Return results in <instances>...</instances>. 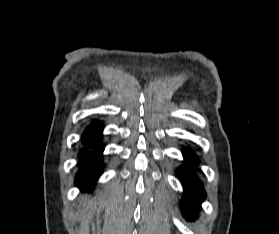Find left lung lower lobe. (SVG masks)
<instances>
[{"mask_svg": "<svg viewBox=\"0 0 279 234\" xmlns=\"http://www.w3.org/2000/svg\"><path fill=\"white\" fill-rule=\"evenodd\" d=\"M183 156L186 163L178 170L185 191V198L181 202V208L188 220H195L200 203L205 198V192L201 182L193 173V166L199 163L195 153L190 149H184Z\"/></svg>", "mask_w": 279, "mask_h": 234, "instance_id": "1", "label": "left lung lower lobe"}]
</instances>
